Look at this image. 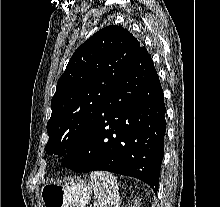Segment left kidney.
Listing matches in <instances>:
<instances>
[{
  "instance_id": "left-kidney-1",
  "label": "left kidney",
  "mask_w": 220,
  "mask_h": 207,
  "mask_svg": "<svg viewBox=\"0 0 220 207\" xmlns=\"http://www.w3.org/2000/svg\"><path fill=\"white\" fill-rule=\"evenodd\" d=\"M129 207H139L137 200L135 201L134 206H129Z\"/></svg>"
}]
</instances>
